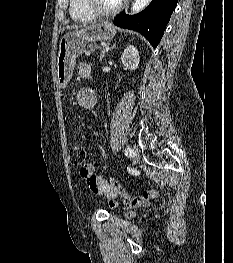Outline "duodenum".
<instances>
[{
	"instance_id": "obj_1",
	"label": "duodenum",
	"mask_w": 233,
	"mask_h": 263,
	"mask_svg": "<svg viewBox=\"0 0 233 263\" xmlns=\"http://www.w3.org/2000/svg\"><path fill=\"white\" fill-rule=\"evenodd\" d=\"M88 77H89V74H85V75H84V78H88Z\"/></svg>"
}]
</instances>
